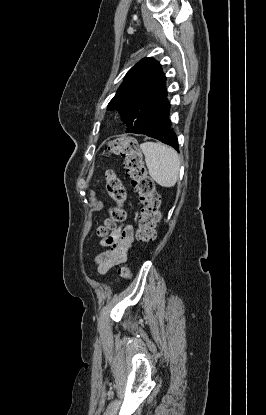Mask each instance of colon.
<instances>
[{
	"mask_svg": "<svg viewBox=\"0 0 266 415\" xmlns=\"http://www.w3.org/2000/svg\"><path fill=\"white\" fill-rule=\"evenodd\" d=\"M106 153L124 158V168L131 186L137 193L141 209L138 216L136 237L142 243H150L156 237V226L160 220V196L155 189L153 180L149 177L144 158L137 141L132 137H121L108 143ZM106 190L115 202L109 211V217L98 228L100 236H107L117 223L126 219L123 204L127 194L121 180L112 172L106 173ZM120 275L124 278L131 276L129 268L123 267Z\"/></svg>",
	"mask_w": 266,
	"mask_h": 415,
	"instance_id": "1",
	"label": "colon"
}]
</instances>
